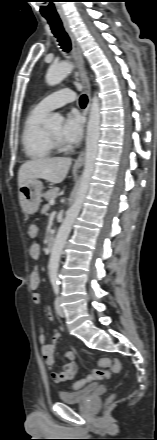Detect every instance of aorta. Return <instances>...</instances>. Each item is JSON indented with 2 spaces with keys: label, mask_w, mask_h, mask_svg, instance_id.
<instances>
[{
  "label": "aorta",
  "mask_w": 157,
  "mask_h": 440,
  "mask_svg": "<svg viewBox=\"0 0 157 440\" xmlns=\"http://www.w3.org/2000/svg\"><path fill=\"white\" fill-rule=\"evenodd\" d=\"M73 68L74 65L70 62H62L60 64L51 65L46 74L47 84L50 86L58 85L73 70ZM100 119V102L97 95L95 94L92 99L89 120L87 124L85 163L84 170L80 179L79 189L77 191L74 203L68 209L66 217L58 230L51 250V255L49 259V277L51 282H55L58 279V268L63 248L70 234L73 223L78 217L86 195L88 193L89 184L95 169L96 158L98 154V142L100 138ZM62 121L63 118L61 115L57 113H53L50 115V126H59Z\"/></svg>",
  "instance_id": "762f6f07"
}]
</instances>
